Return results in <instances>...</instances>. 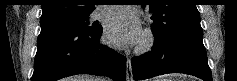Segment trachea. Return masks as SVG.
<instances>
[{
  "label": "trachea",
  "mask_w": 237,
  "mask_h": 81,
  "mask_svg": "<svg viewBox=\"0 0 237 81\" xmlns=\"http://www.w3.org/2000/svg\"><path fill=\"white\" fill-rule=\"evenodd\" d=\"M119 3H123V2H119ZM116 5H123V4H116Z\"/></svg>",
  "instance_id": "1"
}]
</instances>
